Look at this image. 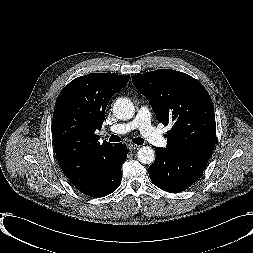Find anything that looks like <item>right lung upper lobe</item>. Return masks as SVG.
Masks as SVG:
<instances>
[{"label":"right lung upper lobe","instance_id":"obj_1","mask_svg":"<svg viewBox=\"0 0 253 253\" xmlns=\"http://www.w3.org/2000/svg\"><path fill=\"white\" fill-rule=\"evenodd\" d=\"M129 75L91 73L71 81L55 104L52 133L58 163L80 189L111 158L114 145L100 144L94 132L100 129L111 97L129 81Z\"/></svg>","mask_w":253,"mask_h":253}]
</instances>
